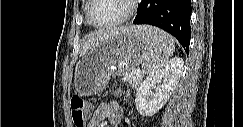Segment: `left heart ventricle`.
<instances>
[{
    "label": "left heart ventricle",
    "mask_w": 243,
    "mask_h": 127,
    "mask_svg": "<svg viewBox=\"0 0 243 127\" xmlns=\"http://www.w3.org/2000/svg\"><path fill=\"white\" fill-rule=\"evenodd\" d=\"M127 9L125 0H94L91 17L96 23H107L123 16Z\"/></svg>",
    "instance_id": "left-heart-ventricle-1"
}]
</instances>
